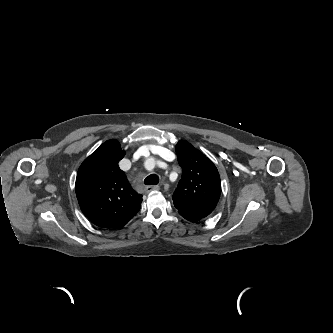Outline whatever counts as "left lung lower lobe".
Returning a JSON list of instances; mask_svg holds the SVG:
<instances>
[{"label": "left lung lower lobe", "instance_id": "obj_1", "mask_svg": "<svg viewBox=\"0 0 333 333\" xmlns=\"http://www.w3.org/2000/svg\"><path fill=\"white\" fill-rule=\"evenodd\" d=\"M180 215L182 217H184L185 219H187L188 221H191V222H196V221H199V220L202 219L200 217H197V216H194V215L185 214V213H182V212H180Z\"/></svg>", "mask_w": 333, "mask_h": 333}]
</instances>
